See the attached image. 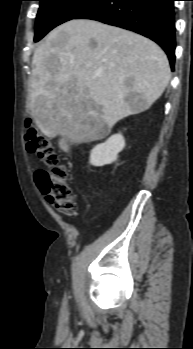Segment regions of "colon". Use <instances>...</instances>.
I'll return each mask as SVG.
<instances>
[{"instance_id": "obj_1", "label": "colon", "mask_w": 193, "mask_h": 349, "mask_svg": "<svg viewBox=\"0 0 193 349\" xmlns=\"http://www.w3.org/2000/svg\"><path fill=\"white\" fill-rule=\"evenodd\" d=\"M27 149L36 154L48 169L39 170L35 175L36 183L47 201L56 210L72 215L76 209L75 194L68 184V169L59 160L58 154L49 137L41 133L29 120L25 124Z\"/></svg>"}]
</instances>
